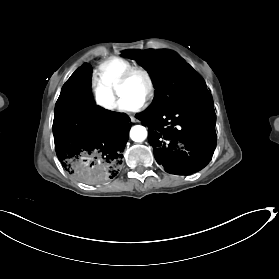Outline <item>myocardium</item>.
Wrapping results in <instances>:
<instances>
[{
  "instance_id": "obj_1",
  "label": "myocardium",
  "mask_w": 279,
  "mask_h": 279,
  "mask_svg": "<svg viewBox=\"0 0 279 279\" xmlns=\"http://www.w3.org/2000/svg\"><path fill=\"white\" fill-rule=\"evenodd\" d=\"M134 76H142L145 79L147 83V92L143 103L149 102L154 96L155 85L150 73L141 67H131L122 74L117 84V95L121 97L122 89L131 81Z\"/></svg>"
}]
</instances>
